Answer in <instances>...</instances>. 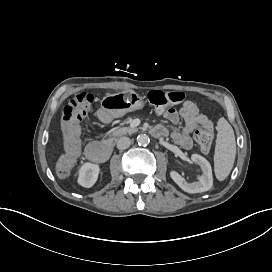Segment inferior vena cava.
Segmentation results:
<instances>
[{"instance_id": "602c4592", "label": "inferior vena cava", "mask_w": 272, "mask_h": 272, "mask_svg": "<svg viewBox=\"0 0 272 272\" xmlns=\"http://www.w3.org/2000/svg\"><path fill=\"white\" fill-rule=\"evenodd\" d=\"M130 146V138L123 136L118 139L117 141V148L118 149H127Z\"/></svg>"}]
</instances>
